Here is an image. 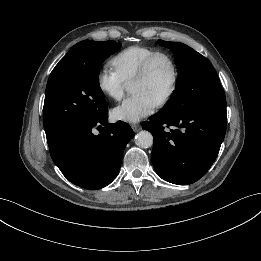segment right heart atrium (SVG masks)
Wrapping results in <instances>:
<instances>
[{
	"mask_svg": "<svg viewBox=\"0 0 261 261\" xmlns=\"http://www.w3.org/2000/svg\"><path fill=\"white\" fill-rule=\"evenodd\" d=\"M97 86L104 96L117 101L122 98L126 83L114 70L102 68L97 74Z\"/></svg>",
	"mask_w": 261,
	"mask_h": 261,
	"instance_id": "d8ad5b80",
	"label": "right heart atrium"
}]
</instances>
